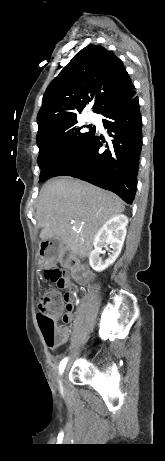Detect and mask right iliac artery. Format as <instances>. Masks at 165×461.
<instances>
[{"instance_id":"1","label":"right iliac artery","mask_w":165,"mask_h":461,"mask_svg":"<svg viewBox=\"0 0 165 461\" xmlns=\"http://www.w3.org/2000/svg\"><path fill=\"white\" fill-rule=\"evenodd\" d=\"M67 358L63 359L60 363V372H62L66 366Z\"/></svg>"}]
</instances>
